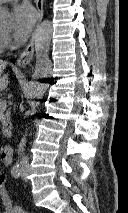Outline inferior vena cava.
I'll use <instances>...</instances> for the list:
<instances>
[{"label": "inferior vena cava", "mask_w": 128, "mask_h": 213, "mask_svg": "<svg viewBox=\"0 0 128 213\" xmlns=\"http://www.w3.org/2000/svg\"><path fill=\"white\" fill-rule=\"evenodd\" d=\"M21 166H22V167H27V166H29V162H28L27 156H23V157H22Z\"/></svg>", "instance_id": "inferior-vena-cava-1"}]
</instances>
